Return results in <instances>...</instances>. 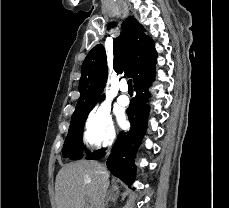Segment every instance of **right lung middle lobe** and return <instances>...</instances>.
Masks as SVG:
<instances>
[{
  "label": "right lung middle lobe",
  "instance_id": "1",
  "mask_svg": "<svg viewBox=\"0 0 229 208\" xmlns=\"http://www.w3.org/2000/svg\"><path fill=\"white\" fill-rule=\"evenodd\" d=\"M87 116L71 120L68 135L64 142L63 156L79 159L83 156L82 133Z\"/></svg>",
  "mask_w": 229,
  "mask_h": 208
}]
</instances>
